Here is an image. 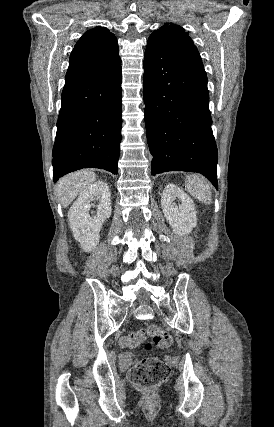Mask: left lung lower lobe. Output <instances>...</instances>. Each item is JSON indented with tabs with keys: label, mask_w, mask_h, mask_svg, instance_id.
<instances>
[{
	"label": "left lung lower lobe",
	"mask_w": 274,
	"mask_h": 427,
	"mask_svg": "<svg viewBox=\"0 0 274 427\" xmlns=\"http://www.w3.org/2000/svg\"><path fill=\"white\" fill-rule=\"evenodd\" d=\"M143 82L151 174L198 172L218 189V155L202 61L163 40L148 39Z\"/></svg>",
	"instance_id": "left-lung-lower-lobe-1"
}]
</instances>
